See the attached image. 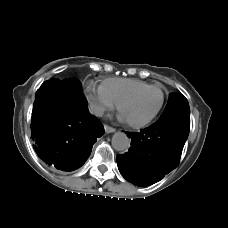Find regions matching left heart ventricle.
<instances>
[{"label":"left heart ventricle","instance_id":"1","mask_svg":"<svg viewBox=\"0 0 228 228\" xmlns=\"http://www.w3.org/2000/svg\"><path fill=\"white\" fill-rule=\"evenodd\" d=\"M160 98L159 91H146L125 103L122 107V114L128 121L141 122L156 110Z\"/></svg>","mask_w":228,"mask_h":228}]
</instances>
